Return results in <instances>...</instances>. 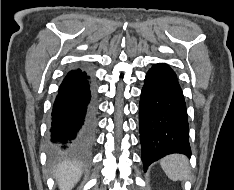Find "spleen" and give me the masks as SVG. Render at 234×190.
I'll list each match as a JSON object with an SVG mask.
<instances>
[{
    "label": "spleen",
    "mask_w": 234,
    "mask_h": 190,
    "mask_svg": "<svg viewBox=\"0 0 234 190\" xmlns=\"http://www.w3.org/2000/svg\"><path fill=\"white\" fill-rule=\"evenodd\" d=\"M160 165L165 174L172 181H184L189 177L190 167L188 160L184 155H169L160 161Z\"/></svg>",
    "instance_id": "spleen-1"
}]
</instances>
